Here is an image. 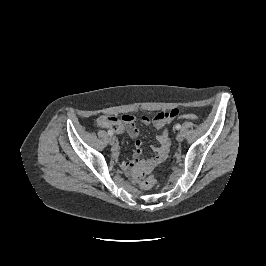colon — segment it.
<instances>
[{
    "mask_svg": "<svg viewBox=\"0 0 266 266\" xmlns=\"http://www.w3.org/2000/svg\"><path fill=\"white\" fill-rule=\"evenodd\" d=\"M182 118L186 120H197V116L193 113H184ZM156 185V179L153 176H147L141 181V187L145 190H149Z\"/></svg>",
    "mask_w": 266,
    "mask_h": 266,
    "instance_id": "colon-1",
    "label": "colon"
}]
</instances>
